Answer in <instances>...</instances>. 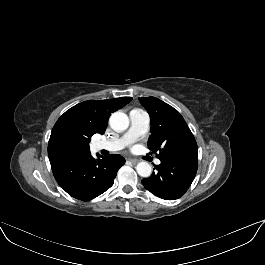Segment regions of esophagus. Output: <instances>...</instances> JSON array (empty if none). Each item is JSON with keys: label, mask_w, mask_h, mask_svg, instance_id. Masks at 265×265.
<instances>
[{"label": "esophagus", "mask_w": 265, "mask_h": 265, "mask_svg": "<svg viewBox=\"0 0 265 265\" xmlns=\"http://www.w3.org/2000/svg\"><path fill=\"white\" fill-rule=\"evenodd\" d=\"M129 161L132 162L133 164H137L139 162V160L133 158H129Z\"/></svg>", "instance_id": "esophagus-1"}]
</instances>
